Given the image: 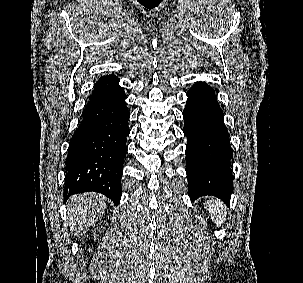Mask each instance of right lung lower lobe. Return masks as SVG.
Instances as JSON below:
<instances>
[{"instance_id":"right-lung-lower-lobe-1","label":"right lung lower lobe","mask_w":303,"mask_h":283,"mask_svg":"<svg viewBox=\"0 0 303 283\" xmlns=\"http://www.w3.org/2000/svg\"><path fill=\"white\" fill-rule=\"evenodd\" d=\"M127 98L115 75L100 78L70 139L66 161V198L99 192L118 204L122 195L123 160L130 130Z\"/></svg>"}]
</instances>
